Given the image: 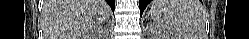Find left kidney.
<instances>
[{
	"label": "left kidney",
	"mask_w": 249,
	"mask_h": 39,
	"mask_svg": "<svg viewBox=\"0 0 249 39\" xmlns=\"http://www.w3.org/2000/svg\"><path fill=\"white\" fill-rule=\"evenodd\" d=\"M158 39H172L168 34H165L164 32H158L157 34Z\"/></svg>",
	"instance_id": "obj_1"
}]
</instances>
